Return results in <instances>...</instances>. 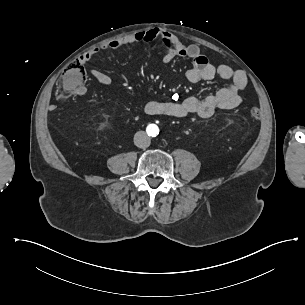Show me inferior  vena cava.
Segmentation results:
<instances>
[{
	"instance_id": "obj_1",
	"label": "inferior vena cava",
	"mask_w": 305,
	"mask_h": 305,
	"mask_svg": "<svg viewBox=\"0 0 305 305\" xmlns=\"http://www.w3.org/2000/svg\"><path fill=\"white\" fill-rule=\"evenodd\" d=\"M151 143L150 137L144 131H138L134 135V144L139 148H147Z\"/></svg>"
}]
</instances>
